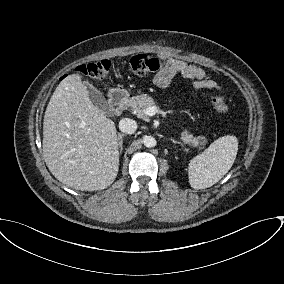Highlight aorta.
Masks as SVG:
<instances>
[{
	"mask_svg": "<svg viewBox=\"0 0 284 284\" xmlns=\"http://www.w3.org/2000/svg\"><path fill=\"white\" fill-rule=\"evenodd\" d=\"M144 146L147 148H153L156 145V140L152 136H145L143 139Z\"/></svg>",
	"mask_w": 284,
	"mask_h": 284,
	"instance_id": "762f6f07",
	"label": "aorta"
}]
</instances>
